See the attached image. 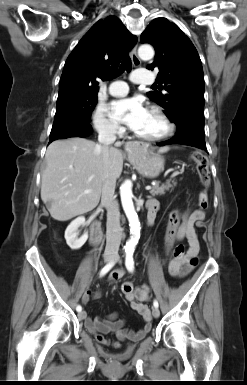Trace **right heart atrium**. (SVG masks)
I'll return each instance as SVG.
<instances>
[{"instance_id": "right-heart-atrium-1", "label": "right heart atrium", "mask_w": 247, "mask_h": 385, "mask_svg": "<svg viewBox=\"0 0 247 385\" xmlns=\"http://www.w3.org/2000/svg\"><path fill=\"white\" fill-rule=\"evenodd\" d=\"M93 124L95 129L104 135H119L123 132L122 128L107 115L103 106H98L93 113Z\"/></svg>"}]
</instances>
